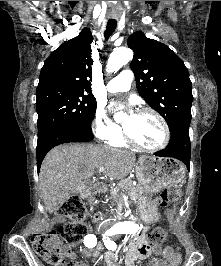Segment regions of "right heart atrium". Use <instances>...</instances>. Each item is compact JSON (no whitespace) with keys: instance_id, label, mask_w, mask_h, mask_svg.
<instances>
[{"instance_id":"d8ad5b80","label":"right heart atrium","mask_w":221,"mask_h":266,"mask_svg":"<svg viewBox=\"0 0 221 266\" xmlns=\"http://www.w3.org/2000/svg\"><path fill=\"white\" fill-rule=\"evenodd\" d=\"M92 132L100 140L110 141L121 135V127L111 121L101 107H97L93 120Z\"/></svg>"}]
</instances>
